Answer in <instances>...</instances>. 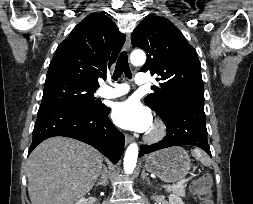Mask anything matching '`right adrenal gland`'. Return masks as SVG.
Here are the masks:
<instances>
[{"label": "right adrenal gland", "instance_id": "right-adrenal-gland-1", "mask_svg": "<svg viewBox=\"0 0 253 204\" xmlns=\"http://www.w3.org/2000/svg\"><path fill=\"white\" fill-rule=\"evenodd\" d=\"M103 179H99L96 183V186H106L108 182L107 168H103Z\"/></svg>", "mask_w": 253, "mask_h": 204}]
</instances>
